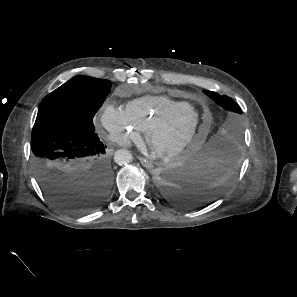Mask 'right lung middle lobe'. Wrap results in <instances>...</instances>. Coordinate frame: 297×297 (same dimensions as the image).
<instances>
[{"instance_id": "1", "label": "right lung middle lobe", "mask_w": 297, "mask_h": 297, "mask_svg": "<svg viewBox=\"0 0 297 297\" xmlns=\"http://www.w3.org/2000/svg\"><path fill=\"white\" fill-rule=\"evenodd\" d=\"M110 88L108 80L73 77L42 100L32 133L59 124H78L94 131L93 117Z\"/></svg>"}]
</instances>
